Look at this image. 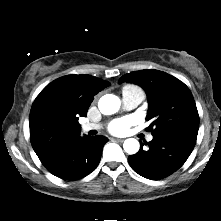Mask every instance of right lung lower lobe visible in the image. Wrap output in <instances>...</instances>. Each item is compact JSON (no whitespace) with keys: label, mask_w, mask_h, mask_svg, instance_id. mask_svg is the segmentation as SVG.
Listing matches in <instances>:
<instances>
[{"label":"right lung lower lobe","mask_w":221,"mask_h":221,"mask_svg":"<svg viewBox=\"0 0 221 221\" xmlns=\"http://www.w3.org/2000/svg\"><path fill=\"white\" fill-rule=\"evenodd\" d=\"M106 142L108 138L101 135L78 136L64 143L42 164L50 173L64 180L85 177L99 164Z\"/></svg>","instance_id":"1"}]
</instances>
